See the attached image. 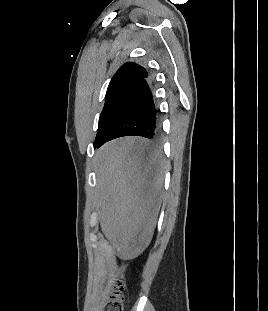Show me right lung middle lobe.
Returning <instances> with one entry per match:
<instances>
[{"label": "right lung middle lobe", "mask_w": 268, "mask_h": 311, "mask_svg": "<svg viewBox=\"0 0 268 311\" xmlns=\"http://www.w3.org/2000/svg\"><path fill=\"white\" fill-rule=\"evenodd\" d=\"M134 89L135 85H128L106 94L105 105L99 118L98 132L94 144L103 138L105 132L130 99Z\"/></svg>", "instance_id": "right-lung-middle-lobe-1"}]
</instances>
